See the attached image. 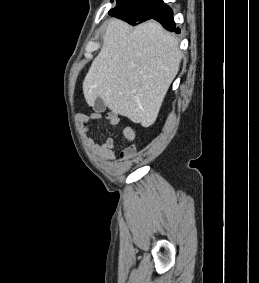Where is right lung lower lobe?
I'll list each match as a JSON object with an SVG mask.
<instances>
[{"mask_svg": "<svg viewBox=\"0 0 259 283\" xmlns=\"http://www.w3.org/2000/svg\"><path fill=\"white\" fill-rule=\"evenodd\" d=\"M109 14L133 26L155 19L168 31L180 33V30L176 29L172 10L162 0H117L116 6Z\"/></svg>", "mask_w": 259, "mask_h": 283, "instance_id": "obj_1", "label": "right lung lower lobe"}]
</instances>
